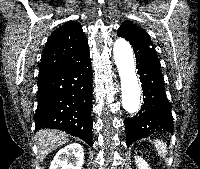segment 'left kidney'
<instances>
[{
    "mask_svg": "<svg viewBox=\"0 0 200 169\" xmlns=\"http://www.w3.org/2000/svg\"><path fill=\"white\" fill-rule=\"evenodd\" d=\"M135 162L138 166V169H151L149 168V165L147 164V162H145V160H143V158L139 156H135Z\"/></svg>",
    "mask_w": 200,
    "mask_h": 169,
    "instance_id": "5707ae66",
    "label": "left kidney"
}]
</instances>
